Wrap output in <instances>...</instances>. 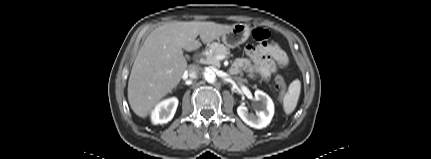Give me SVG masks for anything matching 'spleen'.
<instances>
[{
    "label": "spleen",
    "instance_id": "3e777b00",
    "mask_svg": "<svg viewBox=\"0 0 431 159\" xmlns=\"http://www.w3.org/2000/svg\"><path fill=\"white\" fill-rule=\"evenodd\" d=\"M300 91H301L300 81L298 79L294 80L290 84L288 92L286 93L283 99V109L287 115L291 114L295 110L298 103Z\"/></svg>",
    "mask_w": 431,
    "mask_h": 159
}]
</instances>
